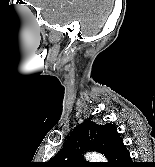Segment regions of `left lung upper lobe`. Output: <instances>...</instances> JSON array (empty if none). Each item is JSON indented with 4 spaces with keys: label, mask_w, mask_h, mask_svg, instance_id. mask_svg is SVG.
Instances as JSON below:
<instances>
[{
    "label": "left lung upper lobe",
    "mask_w": 155,
    "mask_h": 167,
    "mask_svg": "<svg viewBox=\"0 0 155 167\" xmlns=\"http://www.w3.org/2000/svg\"><path fill=\"white\" fill-rule=\"evenodd\" d=\"M122 142L116 126L98 125L86 121L78 125L67 138L63 148L47 162V167H92V163L82 159L85 151L103 154L110 163L113 154Z\"/></svg>",
    "instance_id": "left-lung-upper-lobe-1"
}]
</instances>
